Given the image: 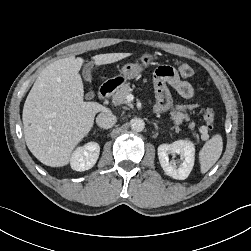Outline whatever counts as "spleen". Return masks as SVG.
Instances as JSON below:
<instances>
[{
    "label": "spleen",
    "instance_id": "obj_1",
    "mask_svg": "<svg viewBox=\"0 0 251 251\" xmlns=\"http://www.w3.org/2000/svg\"><path fill=\"white\" fill-rule=\"evenodd\" d=\"M223 149L221 135L216 134L208 140L199 153L201 173H206L220 158Z\"/></svg>",
    "mask_w": 251,
    "mask_h": 251
}]
</instances>
